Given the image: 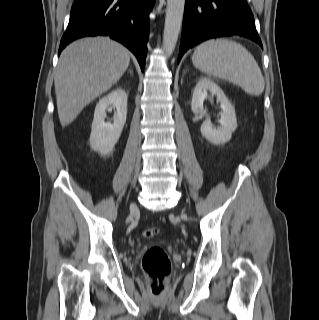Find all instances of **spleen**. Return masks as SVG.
I'll return each mask as SVG.
<instances>
[{
    "label": "spleen",
    "mask_w": 319,
    "mask_h": 320,
    "mask_svg": "<svg viewBox=\"0 0 319 320\" xmlns=\"http://www.w3.org/2000/svg\"><path fill=\"white\" fill-rule=\"evenodd\" d=\"M192 62L200 71L225 79L253 96L265 88L261 69L253 55L241 44L228 39H210L198 45Z\"/></svg>",
    "instance_id": "obj_1"
}]
</instances>
